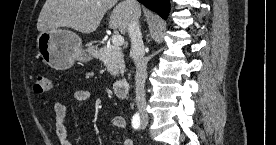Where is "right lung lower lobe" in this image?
Here are the masks:
<instances>
[{
    "label": "right lung lower lobe",
    "mask_w": 276,
    "mask_h": 145,
    "mask_svg": "<svg viewBox=\"0 0 276 145\" xmlns=\"http://www.w3.org/2000/svg\"><path fill=\"white\" fill-rule=\"evenodd\" d=\"M149 9L158 13L162 18L166 19L169 13L168 0H138Z\"/></svg>",
    "instance_id": "1"
}]
</instances>
